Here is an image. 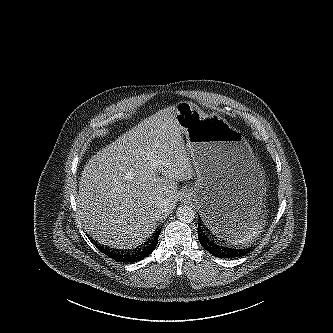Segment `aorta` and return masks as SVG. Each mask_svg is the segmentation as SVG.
Instances as JSON below:
<instances>
[{
	"mask_svg": "<svg viewBox=\"0 0 333 333\" xmlns=\"http://www.w3.org/2000/svg\"><path fill=\"white\" fill-rule=\"evenodd\" d=\"M176 216L181 222L190 223L195 218V211L188 205H182L177 209Z\"/></svg>",
	"mask_w": 333,
	"mask_h": 333,
	"instance_id": "762f6f07",
	"label": "aorta"
}]
</instances>
